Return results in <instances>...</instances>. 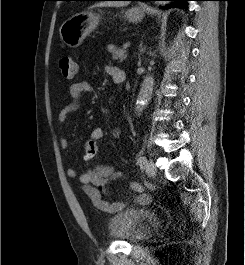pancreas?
Listing matches in <instances>:
<instances>
[{"instance_id":"obj_1","label":"pancreas","mask_w":245,"mask_h":265,"mask_svg":"<svg viewBox=\"0 0 245 265\" xmlns=\"http://www.w3.org/2000/svg\"><path fill=\"white\" fill-rule=\"evenodd\" d=\"M108 51L112 54V59L118 62H123L127 57L126 50L124 49H120L117 47L111 48L109 46Z\"/></svg>"}]
</instances>
